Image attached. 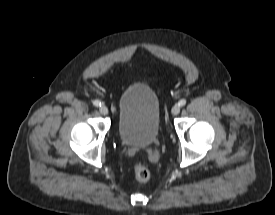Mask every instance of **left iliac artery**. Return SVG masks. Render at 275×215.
I'll use <instances>...</instances> for the list:
<instances>
[{
  "instance_id": "left-iliac-artery-1",
  "label": "left iliac artery",
  "mask_w": 275,
  "mask_h": 215,
  "mask_svg": "<svg viewBox=\"0 0 275 215\" xmlns=\"http://www.w3.org/2000/svg\"><path fill=\"white\" fill-rule=\"evenodd\" d=\"M186 104V100L185 99H181L179 102H178V105L179 106H184Z\"/></svg>"
}]
</instances>
